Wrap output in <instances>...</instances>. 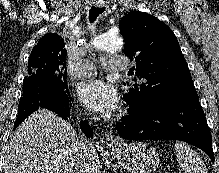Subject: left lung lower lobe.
<instances>
[{
    "mask_svg": "<svg viewBox=\"0 0 219 173\" xmlns=\"http://www.w3.org/2000/svg\"><path fill=\"white\" fill-rule=\"evenodd\" d=\"M116 124L127 140H181L202 149L214 162L212 137L199 97H184L154 107H129Z\"/></svg>",
    "mask_w": 219,
    "mask_h": 173,
    "instance_id": "left-lung-lower-lobe-1",
    "label": "left lung lower lobe"
}]
</instances>
